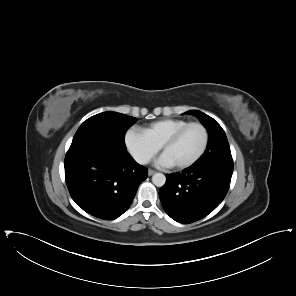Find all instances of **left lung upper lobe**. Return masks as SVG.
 <instances>
[{"label": "left lung upper lobe", "mask_w": 296, "mask_h": 296, "mask_svg": "<svg viewBox=\"0 0 296 296\" xmlns=\"http://www.w3.org/2000/svg\"><path fill=\"white\" fill-rule=\"evenodd\" d=\"M186 114H193L198 117L209 134L207 149L195 163L198 165H211L221 162L233 163L228 140L222 127L213 118L198 110H190Z\"/></svg>", "instance_id": "1"}]
</instances>
